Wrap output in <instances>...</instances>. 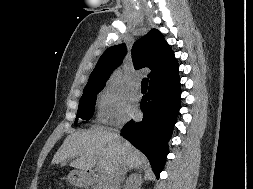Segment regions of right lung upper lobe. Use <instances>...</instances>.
Segmentation results:
<instances>
[{
	"instance_id": "right-lung-upper-lobe-1",
	"label": "right lung upper lobe",
	"mask_w": 253,
	"mask_h": 189,
	"mask_svg": "<svg viewBox=\"0 0 253 189\" xmlns=\"http://www.w3.org/2000/svg\"><path fill=\"white\" fill-rule=\"evenodd\" d=\"M125 53L124 44L108 48L98 60L84 91L104 88L110 72L121 64ZM132 59L135 69L144 67L151 69L148 74L150 83L169 77L178 72L179 69L170 46L156 29H152L134 43Z\"/></svg>"
}]
</instances>
